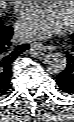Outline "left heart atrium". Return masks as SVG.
Wrapping results in <instances>:
<instances>
[{"label":"left heart atrium","instance_id":"1","mask_svg":"<svg viewBox=\"0 0 74 122\" xmlns=\"http://www.w3.org/2000/svg\"><path fill=\"white\" fill-rule=\"evenodd\" d=\"M66 25L52 6L44 4L23 15L17 31L22 39H43L63 32Z\"/></svg>","mask_w":74,"mask_h":122}]
</instances>
